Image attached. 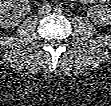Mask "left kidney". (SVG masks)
I'll list each match as a JSON object with an SVG mask.
<instances>
[{
  "label": "left kidney",
  "instance_id": "left-kidney-1",
  "mask_svg": "<svg viewBox=\"0 0 111 106\" xmlns=\"http://www.w3.org/2000/svg\"><path fill=\"white\" fill-rule=\"evenodd\" d=\"M90 14L99 22L111 23V8H104L102 5H97L90 9Z\"/></svg>",
  "mask_w": 111,
  "mask_h": 106
}]
</instances>
